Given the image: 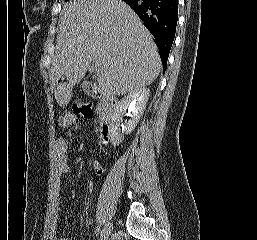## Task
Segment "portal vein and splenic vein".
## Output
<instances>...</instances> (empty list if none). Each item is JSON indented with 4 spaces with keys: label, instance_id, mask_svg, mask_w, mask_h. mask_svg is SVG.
I'll list each match as a JSON object with an SVG mask.
<instances>
[{
    "label": "portal vein and splenic vein",
    "instance_id": "portal-vein-and-splenic-vein-1",
    "mask_svg": "<svg viewBox=\"0 0 257 240\" xmlns=\"http://www.w3.org/2000/svg\"><path fill=\"white\" fill-rule=\"evenodd\" d=\"M93 70L96 71V73H99L100 72V65L98 63H94L91 67Z\"/></svg>",
    "mask_w": 257,
    "mask_h": 240
}]
</instances>
